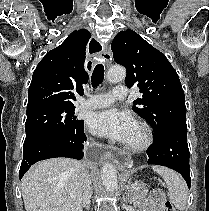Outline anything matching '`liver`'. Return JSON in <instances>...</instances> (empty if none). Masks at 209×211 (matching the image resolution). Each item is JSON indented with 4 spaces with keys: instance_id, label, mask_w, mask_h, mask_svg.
<instances>
[{
    "instance_id": "1",
    "label": "liver",
    "mask_w": 209,
    "mask_h": 211,
    "mask_svg": "<svg viewBox=\"0 0 209 211\" xmlns=\"http://www.w3.org/2000/svg\"><path fill=\"white\" fill-rule=\"evenodd\" d=\"M85 165L52 158L33 165L21 181L26 211H83Z\"/></svg>"
}]
</instances>
